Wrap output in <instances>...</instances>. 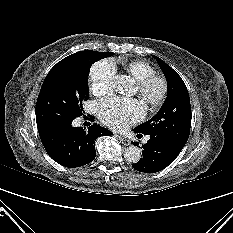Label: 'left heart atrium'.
I'll list each match as a JSON object with an SVG mask.
<instances>
[{"label": "left heart atrium", "mask_w": 233, "mask_h": 233, "mask_svg": "<svg viewBox=\"0 0 233 233\" xmlns=\"http://www.w3.org/2000/svg\"><path fill=\"white\" fill-rule=\"evenodd\" d=\"M97 114L107 126L123 130L144 116L143 104L137 99L109 97L97 104Z\"/></svg>", "instance_id": "1"}]
</instances>
